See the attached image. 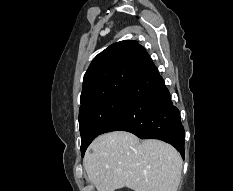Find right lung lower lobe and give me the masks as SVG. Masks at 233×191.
<instances>
[{"label": "right lung lower lobe", "instance_id": "right-lung-lower-lobe-1", "mask_svg": "<svg viewBox=\"0 0 233 191\" xmlns=\"http://www.w3.org/2000/svg\"><path fill=\"white\" fill-rule=\"evenodd\" d=\"M128 92L126 106L100 134L121 130L141 139H159L174 146L184 158L185 132L179 111L152 60Z\"/></svg>", "mask_w": 233, "mask_h": 191}]
</instances>
